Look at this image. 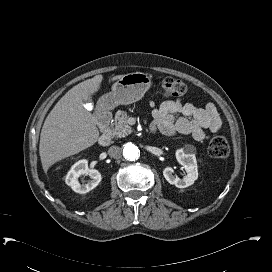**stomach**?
Masks as SVG:
<instances>
[{"instance_id": "stomach-1", "label": "stomach", "mask_w": 272, "mask_h": 272, "mask_svg": "<svg viewBox=\"0 0 272 272\" xmlns=\"http://www.w3.org/2000/svg\"><path fill=\"white\" fill-rule=\"evenodd\" d=\"M152 76L142 73H129L112 85L111 92L101 98V103L107 109L118 105H128L140 100L150 88Z\"/></svg>"}]
</instances>
